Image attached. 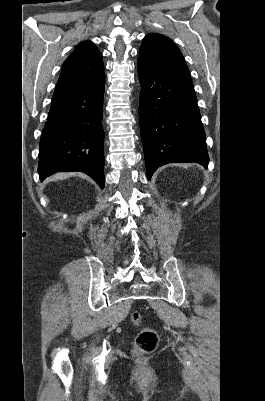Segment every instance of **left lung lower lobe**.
Instances as JSON below:
<instances>
[{
  "mask_svg": "<svg viewBox=\"0 0 265 401\" xmlns=\"http://www.w3.org/2000/svg\"><path fill=\"white\" fill-rule=\"evenodd\" d=\"M142 84L139 104L147 176L167 163L197 162L209 157L190 76L167 74L138 62Z\"/></svg>",
  "mask_w": 265,
  "mask_h": 401,
  "instance_id": "0a47b994",
  "label": "left lung lower lobe"
}]
</instances>
